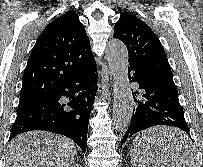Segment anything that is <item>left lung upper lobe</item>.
Returning <instances> with one entry per match:
<instances>
[{
  "label": "left lung upper lobe",
  "instance_id": "left-lung-upper-lobe-1",
  "mask_svg": "<svg viewBox=\"0 0 203 167\" xmlns=\"http://www.w3.org/2000/svg\"><path fill=\"white\" fill-rule=\"evenodd\" d=\"M114 29V37L123 41L128 49L130 65L140 66L160 79L173 81L163 46L144 21L123 12Z\"/></svg>",
  "mask_w": 203,
  "mask_h": 167
}]
</instances>
